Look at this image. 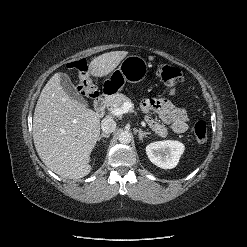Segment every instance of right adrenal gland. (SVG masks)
Listing matches in <instances>:
<instances>
[{
  "mask_svg": "<svg viewBox=\"0 0 247 247\" xmlns=\"http://www.w3.org/2000/svg\"><path fill=\"white\" fill-rule=\"evenodd\" d=\"M109 134H104V133H102L100 136H99V138H98V141H100L102 138H109Z\"/></svg>",
  "mask_w": 247,
  "mask_h": 247,
  "instance_id": "right-adrenal-gland-1",
  "label": "right adrenal gland"
}]
</instances>
